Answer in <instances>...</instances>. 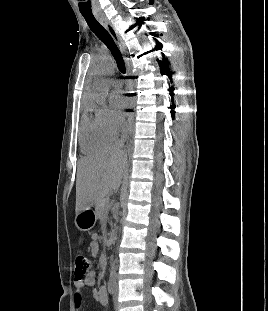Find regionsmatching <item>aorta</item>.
<instances>
[{"label": "aorta", "mask_w": 268, "mask_h": 311, "mask_svg": "<svg viewBox=\"0 0 268 311\" xmlns=\"http://www.w3.org/2000/svg\"><path fill=\"white\" fill-rule=\"evenodd\" d=\"M115 69V64L111 59H105L99 61L94 66V72L97 75V79L94 83V91L100 97H105L108 92V83L106 80V75L112 73ZM115 261L112 259L111 262V272H114Z\"/></svg>", "instance_id": "762f6f07"}]
</instances>
